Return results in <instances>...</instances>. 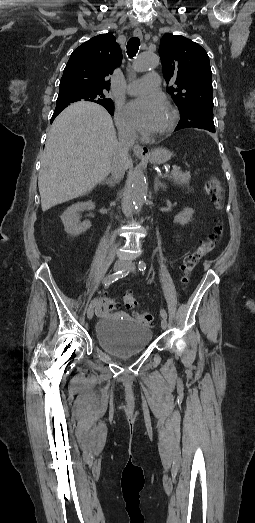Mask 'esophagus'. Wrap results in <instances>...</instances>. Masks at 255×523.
<instances>
[{
	"label": "esophagus",
	"instance_id": "34e87169",
	"mask_svg": "<svg viewBox=\"0 0 255 523\" xmlns=\"http://www.w3.org/2000/svg\"><path fill=\"white\" fill-rule=\"evenodd\" d=\"M134 36L138 37L139 39L142 38V31L140 28H136L134 30ZM133 151L135 155L141 158H145L149 155V148L143 145H135Z\"/></svg>",
	"mask_w": 255,
	"mask_h": 523
}]
</instances>
